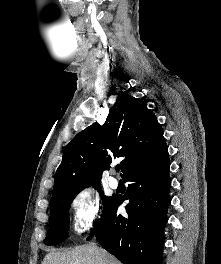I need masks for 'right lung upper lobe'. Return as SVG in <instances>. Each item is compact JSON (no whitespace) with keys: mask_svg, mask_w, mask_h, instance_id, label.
<instances>
[{"mask_svg":"<svg viewBox=\"0 0 221 264\" xmlns=\"http://www.w3.org/2000/svg\"><path fill=\"white\" fill-rule=\"evenodd\" d=\"M161 125L141 99L120 95L106 122H97L79 132L64 149L54 181L51 203L59 197L99 187L102 173L113 158L120 162L124 177L167 153Z\"/></svg>","mask_w":221,"mask_h":264,"instance_id":"obj_1","label":"right lung upper lobe"}]
</instances>
